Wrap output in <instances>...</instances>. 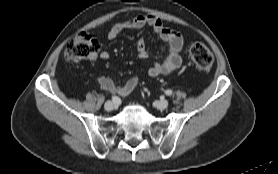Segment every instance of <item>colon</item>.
<instances>
[{
  "label": "colon",
  "instance_id": "obj_1",
  "mask_svg": "<svg viewBox=\"0 0 278 174\" xmlns=\"http://www.w3.org/2000/svg\"><path fill=\"white\" fill-rule=\"evenodd\" d=\"M97 41L87 32L77 34L66 46L65 56L71 61H83L98 51ZM189 54L194 65L200 70H209L214 58L211 51L200 42L189 46Z\"/></svg>",
  "mask_w": 278,
  "mask_h": 174
}]
</instances>
